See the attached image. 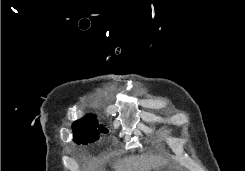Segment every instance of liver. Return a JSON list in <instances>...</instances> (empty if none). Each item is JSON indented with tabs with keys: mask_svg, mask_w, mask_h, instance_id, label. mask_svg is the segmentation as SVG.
<instances>
[{
	"mask_svg": "<svg viewBox=\"0 0 245 171\" xmlns=\"http://www.w3.org/2000/svg\"><path fill=\"white\" fill-rule=\"evenodd\" d=\"M167 161L151 154L126 156L116 161L114 165L115 171H151L163 167Z\"/></svg>",
	"mask_w": 245,
	"mask_h": 171,
	"instance_id": "obj_1",
	"label": "liver"
}]
</instances>
